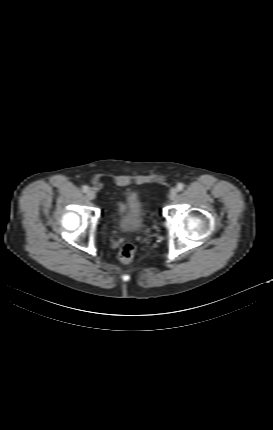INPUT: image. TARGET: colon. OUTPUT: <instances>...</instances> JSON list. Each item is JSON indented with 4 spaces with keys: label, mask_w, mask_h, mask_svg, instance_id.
Returning a JSON list of instances; mask_svg holds the SVG:
<instances>
[{
    "label": "colon",
    "mask_w": 273,
    "mask_h": 430,
    "mask_svg": "<svg viewBox=\"0 0 273 430\" xmlns=\"http://www.w3.org/2000/svg\"><path fill=\"white\" fill-rule=\"evenodd\" d=\"M124 205H119V214L123 213ZM136 249L132 244H124L120 247L118 251V256L123 263H131L135 257Z\"/></svg>",
    "instance_id": "1"
}]
</instances>
